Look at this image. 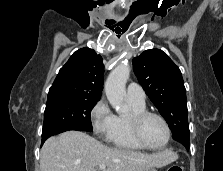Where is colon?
<instances>
[{
	"instance_id": "5ec220e1",
	"label": "colon",
	"mask_w": 223,
	"mask_h": 171,
	"mask_svg": "<svg viewBox=\"0 0 223 171\" xmlns=\"http://www.w3.org/2000/svg\"><path fill=\"white\" fill-rule=\"evenodd\" d=\"M168 171H182V168L179 167V166L174 165V166H171V167L168 169Z\"/></svg>"
}]
</instances>
